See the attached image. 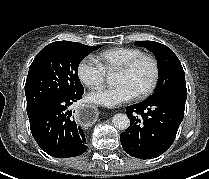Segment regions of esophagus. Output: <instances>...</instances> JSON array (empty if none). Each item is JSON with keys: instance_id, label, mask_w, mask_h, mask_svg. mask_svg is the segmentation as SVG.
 I'll use <instances>...</instances> for the list:
<instances>
[{"instance_id": "1", "label": "esophagus", "mask_w": 209, "mask_h": 179, "mask_svg": "<svg viewBox=\"0 0 209 179\" xmlns=\"http://www.w3.org/2000/svg\"><path fill=\"white\" fill-rule=\"evenodd\" d=\"M75 118L80 126L88 128L96 123L98 112L92 104H81L76 109Z\"/></svg>"}]
</instances>
